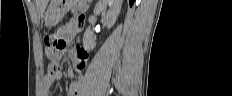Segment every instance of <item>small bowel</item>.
Segmentation results:
<instances>
[{
    "mask_svg": "<svg viewBox=\"0 0 232 96\" xmlns=\"http://www.w3.org/2000/svg\"><path fill=\"white\" fill-rule=\"evenodd\" d=\"M72 20L67 23L61 30V35L66 43H78V38H74L75 35H83L82 27H86L87 12L86 11H77L76 15L70 17ZM47 53L49 51L46 49ZM73 60L75 68L78 72H82L87 64V54L82 49H77L73 51ZM62 78V72L59 68L55 73H48L44 76L42 80V91L43 95H48L50 87L54 82ZM69 96H78V90L76 89V83H74L70 90Z\"/></svg>",
    "mask_w": 232,
    "mask_h": 96,
    "instance_id": "1",
    "label": "small bowel"
}]
</instances>
